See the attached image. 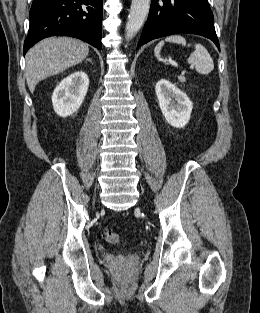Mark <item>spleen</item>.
<instances>
[{"instance_id": "spleen-1", "label": "spleen", "mask_w": 260, "mask_h": 313, "mask_svg": "<svg viewBox=\"0 0 260 313\" xmlns=\"http://www.w3.org/2000/svg\"><path fill=\"white\" fill-rule=\"evenodd\" d=\"M165 42H173L177 44H181L183 46L186 45V40L181 35H171L166 37ZM164 41H160L155 49L154 53L157 58L160 57V51L165 43ZM190 46V44H188ZM194 52L189 56L188 63L195 66V69L198 73L207 75L214 69L213 60L208 53L207 49L197 43L194 45Z\"/></svg>"}]
</instances>
